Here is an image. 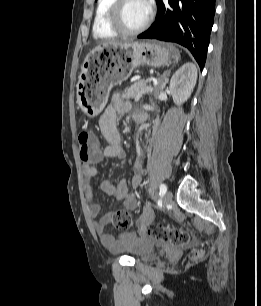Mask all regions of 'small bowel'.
<instances>
[{"label":"small bowel","mask_w":261,"mask_h":306,"mask_svg":"<svg viewBox=\"0 0 261 306\" xmlns=\"http://www.w3.org/2000/svg\"><path fill=\"white\" fill-rule=\"evenodd\" d=\"M130 110V103L116 94L112 97L111 104L103 111L99 119V126L103 138L106 141V145L101 153L102 158L122 160L126 157V153L121 144V135L117 127V120L119 117L126 115ZM140 114L142 113L137 111L135 117H138ZM143 167L144 159L142 154H139L134 163V174L131 179V185L134 188L141 184ZM97 174L98 170L92 162L83 165L84 191L88 202V213L93 219L94 231L101 242L112 251L121 252L134 246L139 240L132 232L123 233L118 238L107 233L105 228L111 222V212H107L97 219L101 207L95 200L92 182L93 177ZM101 189L107 195L114 196L116 199L122 201L125 209L133 210L136 208V197L129 190L128 184L124 179L116 183L110 180H103Z\"/></svg>","instance_id":"obj_1"}]
</instances>
